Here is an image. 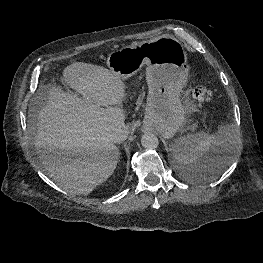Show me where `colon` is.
I'll return each mask as SVG.
<instances>
[{"label":"colon","instance_id":"1","mask_svg":"<svg viewBox=\"0 0 263 263\" xmlns=\"http://www.w3.org/2000/svg\"><path fill=\"white\" fill-rule=\"evenodd\" d=\"M192 97L199 102H211L213 100V92L204 85H198L191 91Z\"/></svg>","mask_w":263,"mask_h":263}]
</instances>
